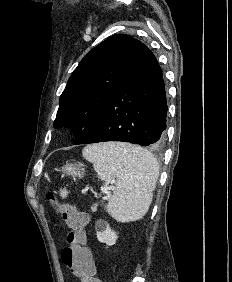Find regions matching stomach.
<instances>
[{
    "label": "stomach",
    "instance_id": "1",
    "mask_svg": "<svg viewBox=\"0 0 232 282\" xmlns=\"http://www.w3.org/2000/svg\"><path fill=\"white\" fill-rule=\"evenodd\" d=\"M62 172L66 175H71L73 177L79 176L80 178L83 177L84 168L80 163H67L63 168Z\"/></svg>",
    "mask_w": 232,
    "mask_h": 282
}]
</instances>
